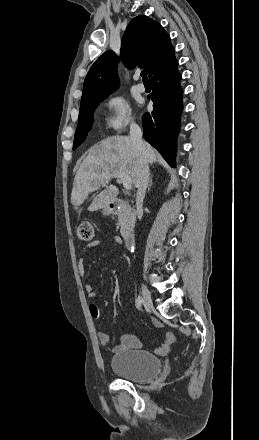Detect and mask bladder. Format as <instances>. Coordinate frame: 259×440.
<instances>
[{
  "mask_svg": "<svg viewBox=\"0 0 259 440\" xmlns=\"http://www.w3.org/2000/svg\"><path fill=\"white\" fill-rule=\"evenodd\" d=\"M112 371L120 378L143 382L157 376L161 369V360L146 350H120L110 361Z\"/></svg>",
  "mask_w": 259,
  "mask_h": 440,
  "instance_id": "1",
  "label": "bladder"
}]
</instances>
